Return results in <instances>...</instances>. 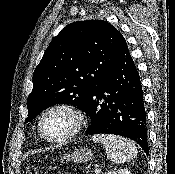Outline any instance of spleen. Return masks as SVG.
<instances>
[{
  "label": "spleen",
  "mask_w": 175,
  "mask_h": 174,
  "mask_svg": "<svg viewBox=\"0 0 175 174\" xmlns=\"http://www.w3.org/2000/svg\"><path fill=\"white\" fill-rule=\"evenodd\" d=\"M95 143H101L107 155L114 163H124L132 160L138 154L135 144L120 136L96 134L92 137Z\"/></svg>",
  "instance_id": "1"
}]
</instances>
